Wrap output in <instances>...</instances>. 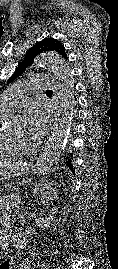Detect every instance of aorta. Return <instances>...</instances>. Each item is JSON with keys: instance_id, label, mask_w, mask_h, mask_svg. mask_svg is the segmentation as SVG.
<instances>
[{"instance_id": "aorta-1", "label": "aorta", "mask_w": 118, "mask_h": 269, "mask_svg": "<svg viewBox=\"0 0 118 269\" xmlns=\"http://www.w3.org/2000/svg\"><path fill=\"white\" fill-rule=\"evenodd\" d=\"M36 65L48 68L57 80L58 114L53 133L40 155L36 172L45 174L59 161L67 144L71 128L74 97V77L68 63L54 53H42L36 58Z\"/></svg>"}]
</instances>
